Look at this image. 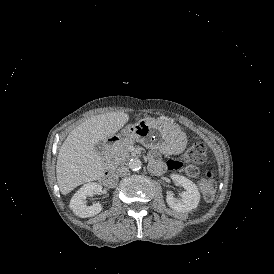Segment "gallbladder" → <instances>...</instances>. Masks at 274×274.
<instances>
[{
    "mask_svg": "<svg viewBox=\"0 0 274 274\" xmlns=\"http://www.w3.org/2000/svg\"><path fill=\"white\" fill-rule=\"evenodd\" d=\"M103 148H104V142L99 141L95 146H94V150L97 153H102L103 152Z\"/></svg>",
    "mask_w": 274,
    "mask_h": 274,
    "instance_id": "gallbladder-1",
    "label": "gallbladder"
}]
</instances>
